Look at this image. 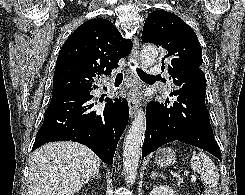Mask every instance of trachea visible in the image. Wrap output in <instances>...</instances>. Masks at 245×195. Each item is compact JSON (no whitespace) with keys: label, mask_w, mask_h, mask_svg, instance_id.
Listing matches in <instances>:
<instances>
[{"label":"trachea","mask_w":245,"mask_h":195,"mask_svg":"<svg viewBox=\"0 0 245 195\" xmlns=\"http://www.w3.org/2000/svg\"><path fill=\"white\" fill-rule=\"evenodd\" d=\"M132 65H134V64H132ZM136 71H137V74L139 75V77L141 79L158 77V76L149 75V74L145 73L143 70H141L139 68H137ZM122 79H123V74L122 73H118L117 76H116V81H122Z\"/></svg>","instance_id":"1"}]
</instances>
